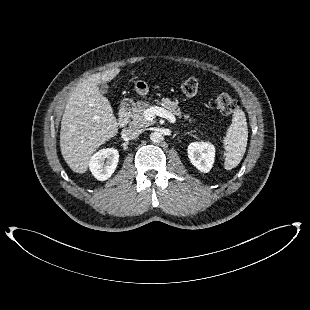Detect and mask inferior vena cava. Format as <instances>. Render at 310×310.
Listing matches in <instances>:
<instances>
[{
	"instance_id": "inferior-vena-cava-1",
	"label": "inferior vena cava",
	"mask_w": 310,
	"mask_h": 310,
	"mask_svg": "<svg viewBox=\"0 0 310 310\" xmlns=\"http://www.w3.org/2000/svg\"><path fill=\"white\" fill-rule=\"evenodd\" d=\"M125 133L129 138L136 139L142 133V131L134 128H128L125 130Z\"/></svg>"
}]
</instances>
